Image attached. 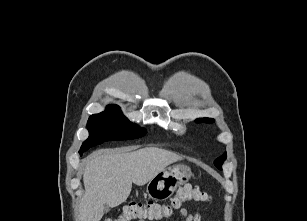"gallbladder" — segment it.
<instances>
[{"mask_svg":"<svg viewBox=\"0 0 307 221\" xmlns=\"http://www.w3.org/2000/svg\"><path fill=\"white\" fill-rule=\"evenodd\" d=\"M110 210L109 206L108 205H105L104 206V212H108Z\"/></svg>","mask_w":307,"mask_h":221,"instance_id":"1","label":"gallbladder"}]
</instances>
